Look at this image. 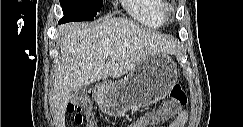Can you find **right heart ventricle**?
I'll use <instances>...</instances> for the list:
<instances>
[{"label":"right heart ventricle","mask_w":243,"mask_h":127,"mask_svg":"<svg viewBox=\"0 0 243 127\" xmlns=\"http://www.w3.org/2000/svg\"><path fill=\"white\" fill-rule=\"evenodd\" d=\"M163 0H126L124 9L137 24L148 28H160L165 23Z\"/></svg>","instance_id":"e07e8e85"}]
</instances>
